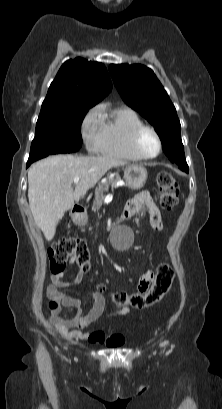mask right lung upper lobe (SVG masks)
<instances>
[{"instance_id": "cb5924a9", "label": "right lung upper lobe", "mask_w": 222, "mask_h": 409, "mask_svg": "<svg viewBox=\"0 0 222 409\" xmlns=\"http://www.w3.org/2000/svg\"><path fill=\"white\" fill-rule=\"evenodd\" d=\"M112 90L106 67L83 58L66 61L51 83L42 109L94 106Z\"/></svg>"}]
</instances>
